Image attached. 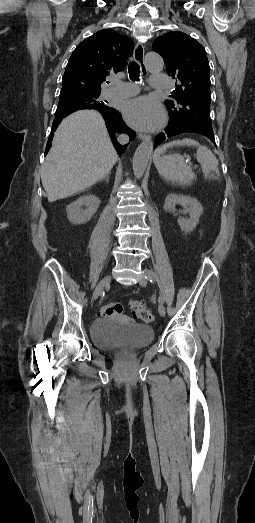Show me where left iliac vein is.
Wrapping results in <instances>:
<instances>
[{
  "instance_id": "left-iliac-vein-1",
  "label": "left iliac vein",
  "mask_w": 255,
  "mask_h": 523,
  "mask_svg": "<svg viewBox=\"0 0 255 523\" xmlns=\"http://www.w3.org/2000/svg\"><path fill=\"white\" fill-rule=\"evenodd\" d=\"M147 270V269H146ZM144 270V275L140 277L139 279V284L143 287H145L147 285V279L145 278V271ZM158 312L161 316H164L166 311H165V307L163 306V304H159L158 305Z\"/></svg>"
}]
</instances>
